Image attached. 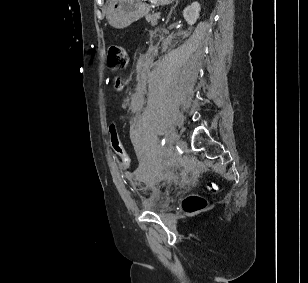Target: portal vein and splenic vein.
<instances>
[{"mask_svg":"<svg viewBox=\"0 0 308 283\" xmlns=\"http://www.w3.org/2000/svg\"><path fill=\"white\" fill-rule=\"evenodd\" d=\"M157 16H158V18H160V16H161V13H160V12H158V13H157Z\"/></svg>","mask_w":308,"mask_h":283,"instance_id":"obj_1","label":"portal vein and splenic vein"}]
</instances>
